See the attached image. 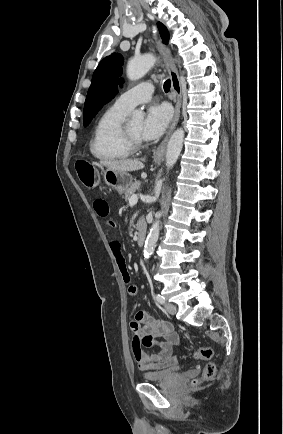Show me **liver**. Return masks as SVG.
I'll list each match as a JSON object with an SVG mask.
<instances>
[{
    "label": "liver",
    "instance_id": "obj_1",
    "mask_svg": "<svg viewBox=\"0 0 283 434\" xmlns=\"http://www.w3.org/2000/svg\"><path fill=\"white\" fill-rule=\"evenodd\" d=\"M100 163L108 169L121 172L137 171L144 168V164L137 159L101 161Z\"/></svg>",
    "mask_w": 283,
    "mask_h": 434
}]
</instances>
